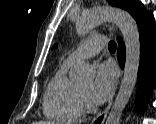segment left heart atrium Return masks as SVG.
I'll list each match as a JSON object with an SVG mask.
<instances>
[{
    "instance_id": "obj_1",
    "label": "left heart atrium",
    "mask_w": 156,
    "mask_h": 124,
    "mask_svg": "<svg viewBox=\"0 0 156 124\" xmlns=\"http://www.w3.org/2000/svg\"><path fill=\"white\" fill-rule=\"evenodd\" d=\"M115 78L116 71L111 63L105 62L97 66L96 77L90 91L94 103H102L111 95Z\"/></svg>"
}]
</instances>
